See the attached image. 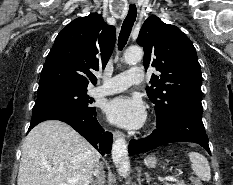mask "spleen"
<instances>
[{"mask_svg":"<svg viewBox=\"0 0 233 185\" xmlns=\"http://www.w3.org/2000/svg\"><path fill=\"white\" fill-rule=\"evenodd\" d=\"M188 156L190 158L191 167L195 175L203 181H210L211 170L208 160L198 152H189Z\"/></svg>","mask_w":233,"mask_h":185,"instance_id":"3e777b00","label":"spleen"}]
</instances>
